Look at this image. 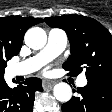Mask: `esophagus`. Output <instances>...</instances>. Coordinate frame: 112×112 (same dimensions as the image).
Listing matches in <instances>:
<instances>
[{
  "instance_id": "obj_1",
  "label": "esophagus",
  "mask_w": 112,
  "mask_h": 112,
  "mask_svg": "<svg viewBox=\"0 0 112 112\" xmlns=\"http://www.w3.org/2000/svg\"><path fill=\"white\" fill-rule=\"evenodd\" d=\"M55 83L53 80H43L42 86L44 89H51Z\"/></svg>"
}]
</instances>
